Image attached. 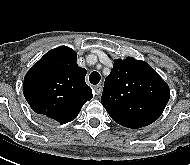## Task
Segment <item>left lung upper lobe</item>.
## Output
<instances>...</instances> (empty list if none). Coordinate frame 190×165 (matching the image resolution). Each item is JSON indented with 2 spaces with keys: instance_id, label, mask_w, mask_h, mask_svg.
Returning <instances> with one entry per match:
<instances>
[{
  "instance_id": "left-lung-upper-lobe-1",
  "label": "left lung upper lobe",
  "mask_w": 190,
  "mask_h": 165,
  "mask_svg": "<svg viewBox=\"0 0 190 165\" xmlns=\"http://www.w3.org/2000/svg\"><path fill=\"white\" fill-rule=\"evenodd\" d=\"M169 98V87L158 73L146 62L128 57L114 61L101 101L115 122L136 129L156 121Z\"/></svg>"
}]
</instances>
